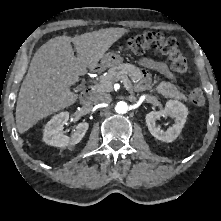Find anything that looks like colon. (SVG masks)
I'll return each mask as SVG.
<instances>
[{"label": "colon", "instance_id": "colon-1", "mask_svg": "<svg viewBox=\"0 0 221 221\" xmlns=\"http://www.w3.org/2000/svg\"><path fill=\"white\" fill-rule=\"evenodd\" d=\"M126 48L137 55L148 50L159 51L165 54L171 64L172 69L177 73H185L188 64L182 55L178 42L175 38L166 37L160 32H144L131 36L125 43ZM188 99L194 105L204 103V95L200 88H192L188 92Z\"/></svg>", "mask_w": 221, "mask_h": 221}]
</instances>
